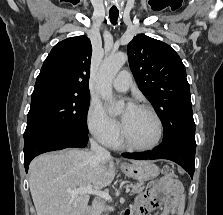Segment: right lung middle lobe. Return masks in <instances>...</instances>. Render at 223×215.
I'll return each instance as SVG.
<instances>
[{"label": "right lung middle lobe", "mask_w": 223, "mask_h": 215, "mask_svg": "<svg viewBox=\"0 0 223 215\" xmlns=\"http://www.w3.org/2000/svg\"><path fill=\"white\" fill-rule=\"evenodd\" d=\"M89 104V96L53 92L32 94L24 139L56 132L88 135Z\"/></svg>", "instance_id": "dd1d6c3e"}]
</instances>
